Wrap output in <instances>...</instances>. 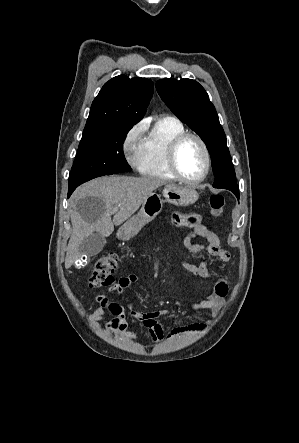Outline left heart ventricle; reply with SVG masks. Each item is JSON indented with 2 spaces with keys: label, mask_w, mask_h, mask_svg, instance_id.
<instances>
[{
  "label": "left heart ventricle",
  "mask_w": 299,
  "mask_h": 443,
  "mask_svg": "<svg viewBox=\"0 0 299 443\" xmlns=\"http://www.w3.org/2000/svg\"><path fill=\"white\" fill-rule=\"evenodd\" d=\"M178 165L188 178H197L204 171L205 159L200 144L195 139L186 140L178 151Z\"/></svg>",
  "instance_id": "obj_1"
}]
</instances>
